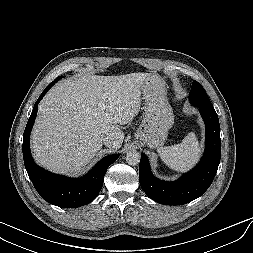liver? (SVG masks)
<instances>
[{
    "instance_id": "obj_1",
    "label": "liver",
    "mask_w": 253,
    "mask_h": 253,
    "mask_svg": "<svg viewBox=\"0 0 253 253\" xmlns=\"http://www.w3.org/2000/svg\"><path fill=\"white\" fill-rule=\"evenodd\" d=\"M157 74L130 73L120 76L84 75L65 79L54 86L39 104L31 133L35 161L60 174L82 173L101 150L119 149L125 125L140 111L141 91Z\"/></svg>"
}]
</instances>
